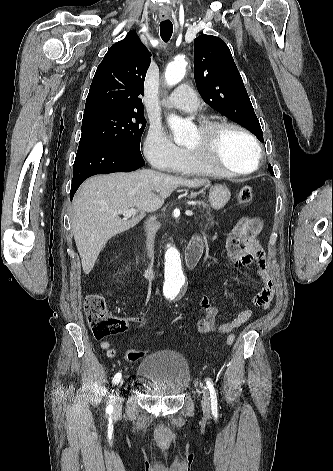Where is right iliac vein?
Listing matches in <instances>:
<instances>
[{"instance_id": "63e3f726", "label": "right iliac vein", "mask_w": 333, "mask_h": 471, "mask_svg": "<svg viewBox=\"0 0 333 471\" xmlns=\"http://www.w3.org/2000/svg\"><path fill=\"white\" fill-rule=\"evenodd\" d=\"M122 383H123V381H120L118 384H116L115 392L113 394L114 395L113 404H114V410L115 411L120 409L121 404H122V400H121V397H120V391H121Z\"/></svg>"}]
</instances>
